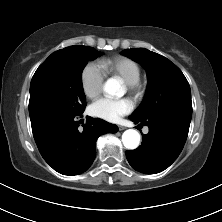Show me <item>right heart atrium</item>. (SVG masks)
<instances>
[{"instance_id": "right-heart-atrium-1", "label": "right heart atrium", "mask_w": 222, "mask_h": 222, "mask_svg": "<svg viewBox=\"0 0 222 222\" xmlns=\"http://www.w3.org/2000/svg\"><path fill=\"white\" fill-rule=\"evenodd\" d=\"M105 73L97 62H89L81 72L80 81L84 94L88 98L98 96L103 88Z\"/></svg>"}]
</instances>
